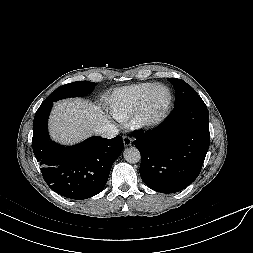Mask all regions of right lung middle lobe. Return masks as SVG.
Listing matches in <instances>:
<instances>
[{"instance_id": "1", "label": "right lung middle lobe", "mask_w": 253, "mask_h": 253, "mask_svg": "<svg viewBox=\"0 0 253 253\" xmlns=\"http://www.w3.org/2000/svg\"><path fill=\"white\" fill-rule=\"evenodd\" d=\"M96 83L78 81L65 84L53 91L44 101H57L67 97L83 96L90 93Z\"/></svg>"}]
</instances>
